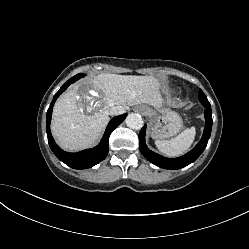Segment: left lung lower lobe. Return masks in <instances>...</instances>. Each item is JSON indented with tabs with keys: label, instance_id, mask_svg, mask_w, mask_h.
I'll return each instance as SVG.
<instances>
[{
	"label": "left lung lower lobe",
	"instance_id": "1",
	"mask_svg": "<svg viewBox=\"0 0 249 249\" xmlns=\"http://www.w3.org/2000/svg\"><path fill=\"white\" fill-rule=\"evenodd\" d=\"M199 100L201 104L206 108L204 112L206 125L204 128L202 138L199 141V143L191 151H189L187 154L181 157L166 158L157 153H154L153 151L149 150L148 147L146 146L145 143L146 125H145L139 133V146L141 153L148 161H150L151 163L160 168L177 170L194 162L201 155V153L206 148L208 140L211 135L212 112H211L210 103L207 100L205 94L203 96H200Z\"/></svg>",
	"mask_w": 249,
	"mask_h": 249
}]
</instances>
